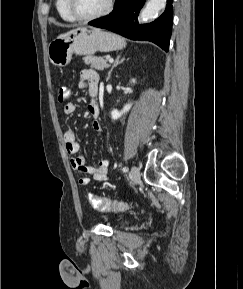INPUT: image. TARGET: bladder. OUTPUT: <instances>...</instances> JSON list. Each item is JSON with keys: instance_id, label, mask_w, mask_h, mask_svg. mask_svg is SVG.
Segmentation results:
<instances>
[{"instance_id": "bladder-1", "label": "bladder", "mask_w": 243, "mask_h": 289, "mask_svg": "<svg viewBox=\"0 0 243 289\" xmlns=\"http://www.w3.org/2000/svg\"><path fill=\"white\" fill-rule=\"evenodd\" d=\"M128 223H129V220H128V219H121V220L119 221V225H121V226L126 225V224H128Z\"/></svg>"}]
</instances>
